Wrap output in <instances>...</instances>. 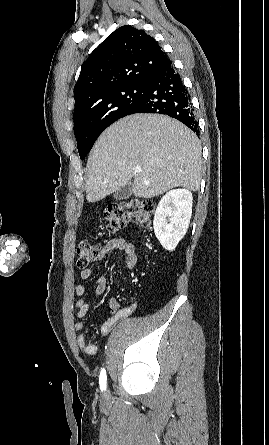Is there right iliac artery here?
Returning <instances> with one entry per match:
<instances>
[{"mask_svg": "<svg viewBox=\"0 0 269 445\" xmlns=\"http://www.w3.org/2000/svg\"><path fill=\"white\" fill-rule=\"evenodd\" d=\"M106 381H107L106 371L105 369H102L99 377V384L102 391L106 389Z\"/></svg>", "mask_w": 269, "mask_h": 445, "instance_id": "right-iliac-artery-1", "label": "right iliac artery"}]
</instances>
